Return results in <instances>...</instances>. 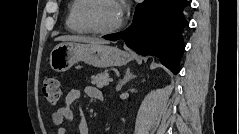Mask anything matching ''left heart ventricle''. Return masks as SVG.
<instances>
[{
  "label": "left heart ventricle",
  "instance_id": "1",
  "mask_svg": "<svg viewBox=\"0 0 239 134\" xmlns=\"http://www.w3.org/2000/svg\"><path fill=\"white\" fill-rule=\"evenodd\" d=\"M120 18L118 5L111 0H101L97 2L92 10V20L94 24L102 29L112 27Z\"/></svg>",
  "mask_w": 239,
  "mask_h": 134
}]
</instances>
